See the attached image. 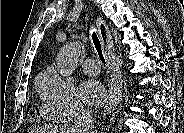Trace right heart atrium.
<instances>
[{"mask_svg":"<svg viewBox=\"0 0 184 133\" xmlns=\"http://www.w3.org/2000/svg\"><path fill=\"white\" fill-rule=\"evenodd\" d=\"M38 90L42 101V112L52 121H70L86 112L73 84L61 78L53 70L42 76Z\"/></svg>","mask_w":184,"mask_h":133,"instance_id":"right-heart-atrium-1","label":"right heart atrium"}]
</instances>
